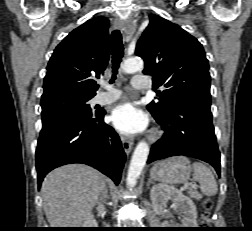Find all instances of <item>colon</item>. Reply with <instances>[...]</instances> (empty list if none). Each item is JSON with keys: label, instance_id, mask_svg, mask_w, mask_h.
<instances>
[{"label": "colon", "instance_id": "colon-1", "mask_svg": "<svg viewBox=\"0 0 252 231\" xmlns=\"http://www.w3.org/2000/svg\"><path fill=\"white\" fill-rule=\"evenodd\" d=\"M204 210L199 218L200 225H207L210 222L209 214L212 208V202L210 200H205L203 203Z\"/></svg>", "mask_w": 252, "mask_h": 231}]
</instances>
